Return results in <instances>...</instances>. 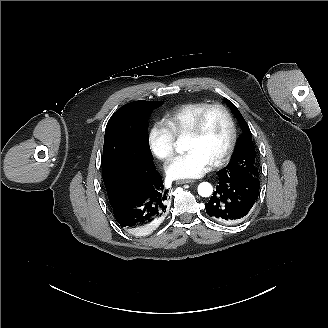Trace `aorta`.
I'll return each mask as SVG.
<instances>
[{"label": "aorta", "instance_id": "aorta-1", "mask_svg": "<svg viewBox=\"0 0 328 328\" xmlns=\"http://www.w3.org/2000/svg\"><path fill=\"white\" fill-rule=\"evenodd\" d=\"M185 148V143L183 142L182 139L178 140L176 142V151L177 152H182L184 151ZM213 193V187L210 183L208 182H202L198 186V194L202 197H209Z\"/></svg>", "mask_w": 328, "mask_h": 328}]
</instances>
